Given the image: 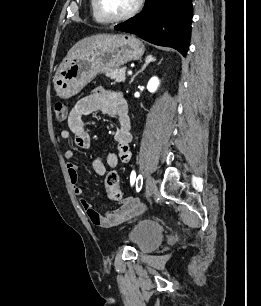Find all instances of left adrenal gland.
<instances>
[{"label":"left adrenal gland","mask_w":261,"mask_h":306,"mask_svg":"<svg viewBox=\"0 0 261 306\" xmlns=\"http://www.w3.org/2000/svg\"><path fill=\"white\" fill-rule=\"evenodd\" d=\"M155 60H156V59H155L153 56H151V55H150V56H147L146 59H145L144 65L142 66V68H141L135 75H133V77L131 78L129 84H131V83L134 81L135 77H136L139 73H141L142 71H144V69H145L151 62H154Z\"/></svg>","instance_id":"left-adrenal-gland-1"}]
</instances>
